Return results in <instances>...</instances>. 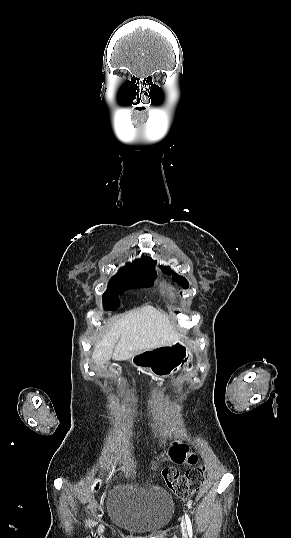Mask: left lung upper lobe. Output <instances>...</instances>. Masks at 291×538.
Instances as JSON below:
<instances>
[{
	"label": "left lung upper lobe",
	"instance_id": "obj_1",
	"mask_svg": "<svg viewBox=\"0 0 291 538\" xmlns=\"http://www.w3.org/2000/svg\"><path fill=\"white\" fill-rule=\"evenodd\" d=\"M160 267H161L163 272H165V273H167L169 275L172 274L173 275L172 276L173 280L176 281L179 285L183 286L184 288H188L189 284H188V282L186 281V279L184 277L178 276L177 274H175L170 269V267H168V266H165V267L160 266Z\"/></svg>",
	"mask_w": 291,
	"mask_h": 538
}]
</instances>
